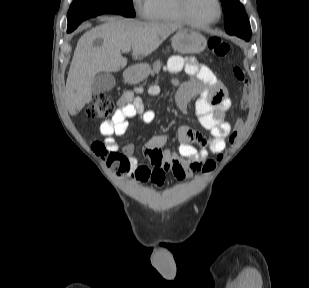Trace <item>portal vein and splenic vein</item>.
<instances>
[{
	"mask_svg": "<svg viewBox=\"0 0 309 288\" xmlns=\"http://www.w3.org/2000/svg\"><path fill=\"white\" fill-rule=\"evenodd\" d=\"M130 50H131V47L122 48V51L125 52V53L130 52Z\"/></svg>",
	"mask_w": 309,
	"mask_h": 288,
	"instance_id": "portal-vein-and-splenic-vein-1",
	"label": "portal vein and splenic vein"
}]
</instances>
